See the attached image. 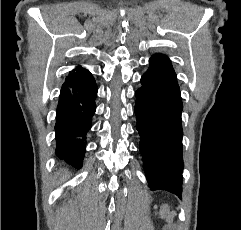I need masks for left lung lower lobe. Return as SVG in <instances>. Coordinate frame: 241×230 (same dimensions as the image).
I'll return each instance as SVG.
<instances>
[{
	"label": "left lung lower lobe",
	"mask_w": 241,
	"mask_h": 230,
	"mask_svg": "<svg viewBox=\"0 0 241 230\" xmlns=\"http://www.w3.org/2000/svg\"><path fill=\"white\" fill-rule=\"evenodd\" d=\"M136 91V129L151 190L182 191L183 109L176 73L169 58L153 55Z\"/></svg>",
	"instance_id": "obj_1"
}]
</instances>
